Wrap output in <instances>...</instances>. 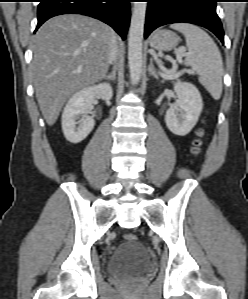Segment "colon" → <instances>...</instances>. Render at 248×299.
<instances>
[{
    "instance_id": "5ec220e1",
    "label": "colon",
    "mask_w": 248,
    "mask_h": 299,
    "mask_svg": "<svg viewBox=\"0 0 248 299\" xmlns=\"http://www.w3.org/2000/svg\"><path fill=\"white\" fill-rule=\"evenodd\" d=\"M199 134H202V131H199ZM201 141L196 140L193 146V153L198 154L200 152ZM124 239L128 242H135L137 240V236L134 233H127L124 235Z\"/></svg>"
}]
</instances>
